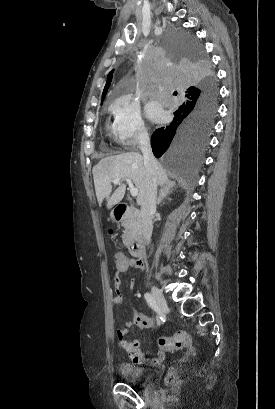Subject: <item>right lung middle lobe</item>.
<instances>
[{"label":"right lung middle lobe","mask_w":275,"mask_h":409,"mask_svg":"<svg viewBox=\"0 0 275 409\" xmlns=\"http://www.w3.org/2000/svg\"><path fill=\"white\" fill-rule=\"evenodd\" d=\"M161 51H173V66H177L178 85H195L189 100L178 105V96H161V105H170V125L158 128L152 135L151 146L156 158L173 174L195 181L192 165L199 166L208 146L216 115L217 85L215 74L205 57L200 42L186 36L185 30H164L159 39ZM171 82H152V91H171Z\"/></svg>","instance_id":"dd1d6c3e"}]
</instances>
